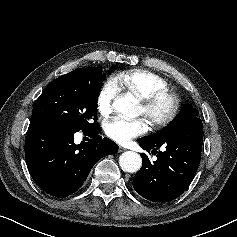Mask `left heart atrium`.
Returning <instances> with one entry per match:
<instances>
[{
  "label": "left heart atrium",
  "mask_w": 237,
  "mask_h": 237,
  "mask_svg": "<svg viewBox=\"0 0 237 237\" xmlns=\"http://www.w3.org/2000/svg\"><path fill=\"white\" fill-rule=\"evenodd\" d=\"M106 135L118 143H128L131 139L144 134L147 125L143 119L126 120L115 117L106 122Z\"/></svg>",
  "instance_id": "left-heart-atrium-1"
}]
</instances>
